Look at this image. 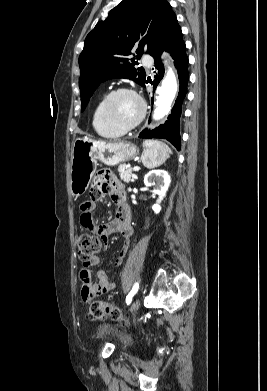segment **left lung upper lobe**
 <instances>
[{"label":"left lung upper lobe","mask_w":267,"mask_h":391,"mask_svg":"<svg viewBox=\"0 0 267 391\" xmlns=\"http://www.w3.org/2000/svg\"><path fill=\"white\" fill-rule=\"evenodd\" d=\"M178 25L166 0H123L104 21L87 35L79 56V87L83 111L99 84L112 78H128L141 86L146 83L143 68L135 59L152 51ZM135 51L136 58H130Z\"/></svg>","instance_id":"obj_1"}]
</instances>
